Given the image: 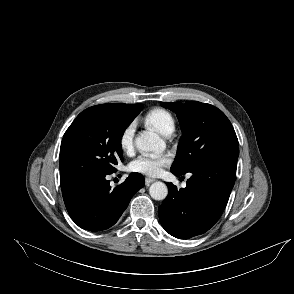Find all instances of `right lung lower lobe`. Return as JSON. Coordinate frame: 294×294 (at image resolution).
<instances>
[{"label": "right lung lower lobe", "instance_id": "1", "mask_svg": "<svg viewBox=\"0 0 294 294\" xmlns=\"http://www.w3.org/2000/svg\"><path fill=\"white\" fill-rule=\"evenodd\" d=\"M106 175H75L60 180L67 211L83 229L100 231L113 226L145 183L143 176L134 172L111 189Z\"/></svg>", "mask_w": 294, "mask_h": 294}]
</instances>
